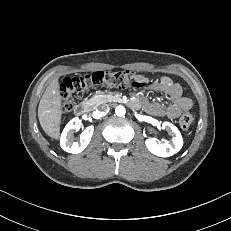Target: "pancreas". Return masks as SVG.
<instances>
[{"label":"pancreas","instance_id":"cf45deb5","mask_svg":"<svg viewBox=\"0 0 231 231\" xmlns=\"http://www.w3.org/2000/svg\"><path fill=\"white\" fill-rule=\"evenodd\" d=\"M114 99V96L112 95H100V96H95L93 98V100L98 103V104H101V103H105V102H110Z\"/></svg>","mask_w":231,"mask_h":231}]
</instances>
